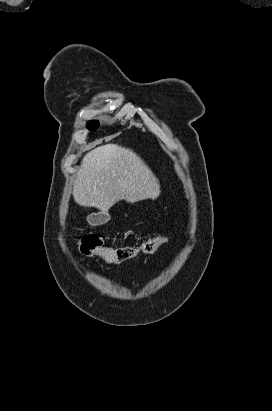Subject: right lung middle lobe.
<instances>
[{
  "mask_svg": "<svg viewBox=\"0 0 272 411\" xmlns=\"http://www.w3.org/2000/svg\"><path fill=\"white\" fill-rule=\"evenodd\" d=\"M98 126H99V123L97 121H91L88 123V128L90 130H95L98 128Z\"/></svg>",
  "mask_w": 272,
  "mask_h": 411,
  "instance_id": "dd1d6c3e",
  "label": "right lung middle lobe"
}]
</instances>
